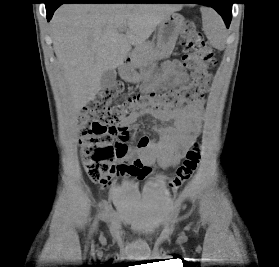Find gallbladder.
Instances as JSON below:
<instances>
[{"label": "gallbladder", "mask_w": 279, "mask_h": 267, "mask_svg": "<svg viewBox=\"0 0 279 267\" xmlns=\"http://www.w3.org/2000/svg\"><path fill=\"white\" fill-rule=\"evenodd\" d=\"M116 83V72L113 69L106 70L100 81V86L102 90L110 89L115 86Z\"/></svg>", "instance_id": "bac80fb5"}]
</instances>
